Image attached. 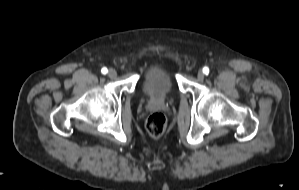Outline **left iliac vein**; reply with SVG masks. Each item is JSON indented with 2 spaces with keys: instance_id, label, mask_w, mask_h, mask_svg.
Listing matches in <instances>:
<instances>
[{
  "instance_id": "4c4485c4",
  "label": "left iliac vein",
  "mask_w": 299,
  "mask_h": 190,
  "mask_svg": "<svg viewBox=\"0 0 299 190\" xmlns=\"http://www.w3.org/2000/svg\"><path fill=\"white\" fill-rule=\"evenodd\" d=\"M197 78L198 80L202 81L205 78V74L203 73V71H199L197 74Z\"/></svg>"
}]
</instances>
